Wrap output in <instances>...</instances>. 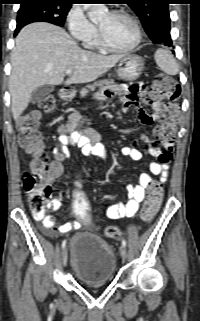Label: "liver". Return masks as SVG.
<instances>
[{
  "instance_id": "obj_1",
  "label": "liver",
  "mask_w": 200,
  "mask_h": 321,
  "mask_svg": "<svg viewBox=\"0 0 200 321\" xmlns=\"http://www.w3.org/2000/svg\"><path fill=\"white\" fill-rule=\"evenodd\" d=\"M123 57L83 50L64 29L50 23L25 26L18 34L11 54L9 89L14 120L27 108L36 88L63 83L67 69L73 72L66 85L89 83L109 71Z\"/></svg>"
}]
</instances>
